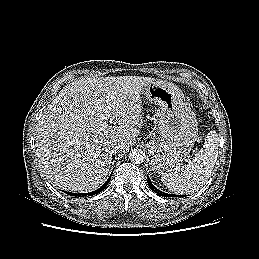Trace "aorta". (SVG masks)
Returning a JSON list of instances; mask_svg holds the SVG:
<instances>
[{
    "label": "aorta",
    "instance_id": "762f6f07",
    "mask_svg": "<svg viewBox=\"0 0 259 259\" xmlns=\"http://www.w3.org/2000/svg\"><path fill=\"white\" fill-rule=\"evenodd\" d=\"M129 157L131 161L135 164L142 163L146 158L144 151L141 149H133L130 152Z\"/></svg>",
    "mask_w": 259,
    "mask_h": 259
}]
</instances>
